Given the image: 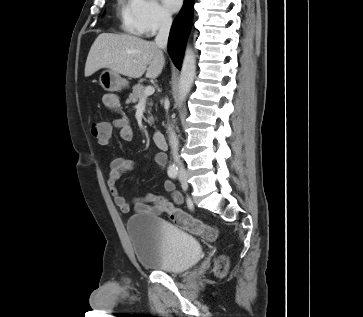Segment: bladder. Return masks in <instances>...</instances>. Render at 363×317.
<instances>
[{"mask_svg": "<svg viewBox=\"0 0 363 317\" xmlns=\"http://www.w3.org/2000/svg\"><path fill=\"white\" fill-rule=\"evenodd\" d=\"M141 267L177 274L190 269L202 256L200 241L190 233L150 214L133 215L126 226Z\"/></svg>", "mask_w": 363, "mask_h": 317, "instance_id": "bladder-1", "label": "bladder"}]
</instances>
